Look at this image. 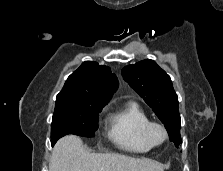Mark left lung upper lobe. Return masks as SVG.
<instances>
[{
    "mask_svg": "<svg viewBox=\"0 0 223 171\" xmlns=\"http://www.w3.org/2000/svg\"><path fill=\"white\" fill-rule=\"evenodd\" d=\"M122 75L164 124L170 141L176 147L182 144L178 97L170 76L149 59L124 67Z\"/></svg>",
    "mask_w": 223,
    "mask_h": 171,
    "instance_id": "5c2ea615",
    "label": "left lung upper lobe"
}]
</instances>
